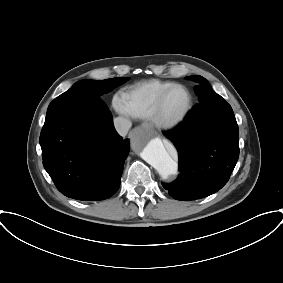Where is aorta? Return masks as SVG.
Segmentation results:
<instances>
[{
    "mask_svg": "<svg viewBox=\"0 0 283 283\" xmlns=\"http://www.w3.org/2000/svg\"><path fill=\"white\" fill-rule=\"evenodd\" d=\"M135 145L140 149L141 157L149 163L159 175L166 179L177 174L178 164L170 156L160 138L138 137ZM172 150L175 149L172 147Z\"/></svg>",
    "mask_w": 283,
    "mask_h": 283,
    "instance_id": "aorta-1",
    "label": "aorta"
}]
</instances>
